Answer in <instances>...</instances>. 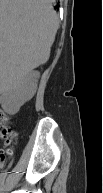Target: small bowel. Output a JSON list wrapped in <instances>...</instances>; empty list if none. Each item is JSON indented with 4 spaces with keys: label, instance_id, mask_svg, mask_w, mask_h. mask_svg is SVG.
<instances>
[{
    "label": "small bowel",
    "instance_id": "c3829d8e",
    "mask_svg": "<svg viewBox=\"0 0 103 193\" xmlns=\"http://www.w3.org/2000/svg\"><path fill=\"white\" fill-rule=\"evenodd\" d=\"M4 123H6V119L4 118V121H3ZM13 134V140H14V138H15V134L14 133H12ZM7 142V141H6ZM7 144H9L8 142H7ZM10 153V151L9 150H2L1 151V155H2V157H5V155L6 154H9Z\"/></svg>",
    "mask_w": 103,
    "mask_h": 193
}]
</instances>
